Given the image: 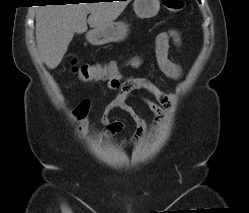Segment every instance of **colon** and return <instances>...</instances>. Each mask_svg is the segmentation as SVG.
<instances>
[{
    "instance_id": "1",
    "label": "colon",
    "mask_w": 249,
    "mask_h": 213,
    "mask_svg": "<svg viewBox=\"0 0 249 213\" xmlns=\"http://www.w3.org/2000/svg\"><path fill=\"white\" fill-rule=\"evenodd\" d=\"M162 5L170 12L176 13L183 9V0H161ZM72 71L78 77L85 81H93L96 79H109L118 74V68L115 64L100 65V64H79L76 61L72 63Z\"/></svg>"
}]
</instances>
